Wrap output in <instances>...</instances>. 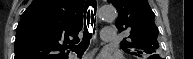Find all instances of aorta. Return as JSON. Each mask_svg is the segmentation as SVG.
<instances>
[{
	"instance_id": "obj_1",
	"label": "aorta",
	"mask_w": 193,
	"mask_h": 59,
	"mask_svg": "<svg viewBox=\"0 0 193 59\" xmlns=\"http://www.w3.org/2000/svg\"><path fill=\"white\" fill-rule=\"evenodd\" d=\"M99 17L103 21H113L117 17V10L112 5H103L99 9Z\"/></svg>"
}]
</instances>
